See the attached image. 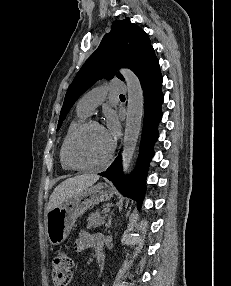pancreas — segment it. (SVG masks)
<instances>
[{"label":"pancreas","instance_id":"pancreas-1","mask_svg":"<svg viewBox=\"0 0 231 286\" xmlns=\"http://www.w3.org/2000/svg\"><path fill=\"white\" fill-rule=\"evenodd\" d=\"M87 229H94L104 224L105 217L100 215V212L96 211L92 213L88 219Z\"/></svg>","mask_w":231,"mask_h":286}]
</instances>
